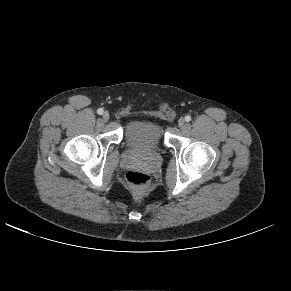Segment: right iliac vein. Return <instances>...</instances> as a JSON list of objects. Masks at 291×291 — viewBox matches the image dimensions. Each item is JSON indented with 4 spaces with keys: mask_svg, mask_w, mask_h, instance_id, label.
<instances>
[{
    "mask_svg": "<svg viewBox=\"0 0 291 291\" xmlns=\"http://www.w3.org/2000/svg\"><path fill=\"white\" fill-rule=\"evenodd\" d=\"M103 121L107 122L109 120V113L105 111L102 115Z\"/></svg>",
    "mask_w": 291,
    "mask_h": 291,
    "instance_id": "right-iliac-vein-1",
    "label": "right iliac vein"
}]
</instances>
